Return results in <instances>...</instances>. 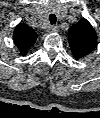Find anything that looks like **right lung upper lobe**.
Returning <instances> with one entry per match:
<instances>
[{"instance_id":"obj_1","label":"right lung upper lobe","mask_w":100,"mask_h":118,"mask_svg":"<svg viewBox=\"0 0 100 118\" xmlns=\"http://www.w3.org/2000/svg\"><path fill=\"white\" fill-rule=\"evenodd\" d=\"M13 39L20 50V54L26 55L37 39V34L26 24L20 23L14 30Z\"/></svg>"}]
</instances>
